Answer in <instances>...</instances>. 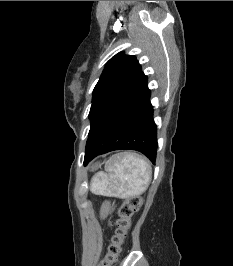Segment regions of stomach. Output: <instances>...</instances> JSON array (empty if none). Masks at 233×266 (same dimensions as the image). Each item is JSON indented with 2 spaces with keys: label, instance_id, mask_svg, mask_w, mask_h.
I'll list each match as a JSON object with an SVG mask.
<instances>
[{
  "label": "stomach",
  "instance_id": "obj_1",
  "mask_svg": "<svg viewBox=\"0 0 233 266\" xmlns=\"http://www.w3.org/2000/svg\"><path fill=\"white\" fill-rule=\"evenodd\" d=\"M98 160L99 161H94L93 162V165L94 166H103L104 165V162L103 161H108L109 160V157L108 156H99L98 157ZM90 171L91 172H96L97 171V168L96 167H91L90 168Z\"/></svg>",
  "mask_w": 233,
  "mask_h": 266
}]
</instances>
